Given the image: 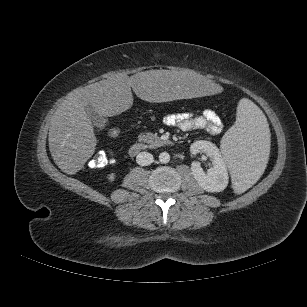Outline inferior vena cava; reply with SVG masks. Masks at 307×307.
Here are the masks:
<instances>
[{"label": "inferior vena cava", "mask_w": 307, "mask_h": 307, "mask_svg": "<svg viewBox=\"0 0 307 307\" xmlns=\"http://www.w3.org/2000/svg\"><path fill=\"white\" fill-rule=\"evenodd\" d=\"M136 162L140 166H148L153 162V155L149 152H140L136 157Z\"/></svg>", "instance_id": "1"}]
</instances>
